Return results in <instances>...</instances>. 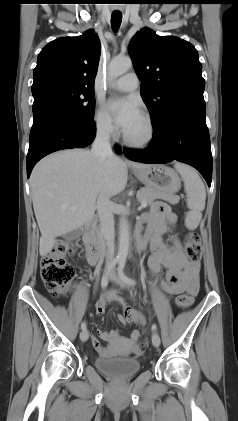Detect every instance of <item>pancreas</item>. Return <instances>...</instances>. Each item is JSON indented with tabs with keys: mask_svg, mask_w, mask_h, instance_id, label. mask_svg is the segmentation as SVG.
I'll return each mask as SVG.
<instances>
[{
	"mask_svg": "<svg viewBox=\"0 0 238 421\" xmlns=\"http://www.w3.org/2000/svg\"><path fill=\"white\" fill-rule=\"evenodd\" d=\"M139 202H146L147 205H150L154 200L156 199H163L166 200L172 204L176 202V198L173 196H170L167 193H164L162 191H159L154 188H142L137 195Z\"/></svg>",
	"mask_w": 238,
	"mask_h": 421,
	"instance_id": "1",
	"label": "pancreas"
}]
</instances>
